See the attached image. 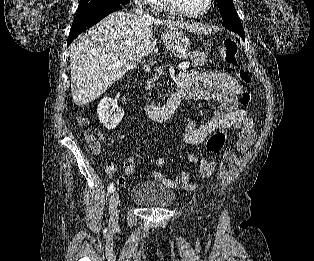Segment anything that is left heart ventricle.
<instances>
[{"label":"left heart ventricle","instance_id":"1","mask_svg":"<svg viewBox=\"0 0 314 261\" xmlns=\"http://www.w3.org/2000/svg\"><path fill=\"white\" fill-rule=\"evenodd\" d=\"M175 3L191 13H197L203 11L207 6V0H174Z\"/></svg>","mask_w":314,"mask_h":261}]
</instances>
